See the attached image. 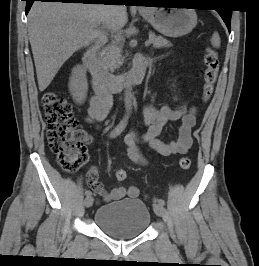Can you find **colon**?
Here are the masks:
<instances>
[{
    "label": "colon",
    "instance_id": "1",
    "mask_svg": "<svg viewBox=\"0 0 259 266\" xmlns=\"http://www.w3.org/2000/svg\"><path fill=\"white\" fill-rule=\"evenodd\" d=\"M205 71L202 99L208 101L213 93L219 72L217 52L207 47L204 55ZM44 119L47 125L46 137L58 164L67 172H76L87 161L85 143L89 140L86 132L78 128V120L72 112L70 103L62 96L48 91L42 96ZM188 157L179 160L183 170L190 168ZM118 181H124L127 173L118 169L115 173Z\"/></svg>",
    "mask_w": 259,
    "mask_h": 266
}]
</instances>
